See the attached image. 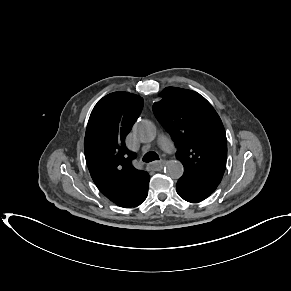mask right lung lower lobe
<instances>
[{"label":"right lung lower lobe","mask_w":291,"mask_h":291,"mask_svg":"<svg viewBox=\"0 0 291 291\" xmlns=\"http://www.w3.org/2000/svg\"><path fill=\"white\" fill-rule=\"evenodd\" d=\"M147 194H148V192L143 196V198L140 201L132 203L131 205H118V206H121V207H136V206L140 205L146 199Z\"/></svg>","instance_id":"1"}]
</instances>
